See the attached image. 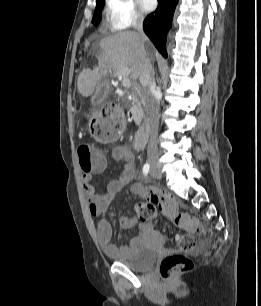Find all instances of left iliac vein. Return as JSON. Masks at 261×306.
<instances>
[{"instance_id":"obj_1","label":"left iliac vein","mask_w":261,"mask_h":306,"mask_svg":"<svg viewBox=\"0 0 261 306\" xmlns=\"http://www.w3.org/2000/svg\"><path fill=\"white\" fill-rule=\"evenodd\" d=\"M151 176H152V177H156V176L153 174V172H152V171H151Z\"/></svg>"}]
</instances>
